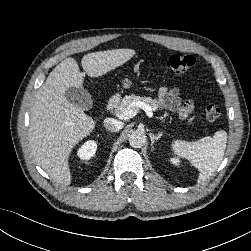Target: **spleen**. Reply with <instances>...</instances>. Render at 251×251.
<instances>
[{"label":"spleen","instance_id":"3e777b00","mask_svg":"<svg viewBox=\"0 0 251 251\" xmlns=\"http://www.w3.org/2000/svg\"><path fill=\"white\" fill-rule=\"evenodd\" d=\"M227 143V133L217 131L213 137H204L196 142L174 140L171 144L175 154L185 157L200 171L198 183L207 180L220 165Z\"/></svg>","mask_w":251,"mask_h":251}]
</instances>
